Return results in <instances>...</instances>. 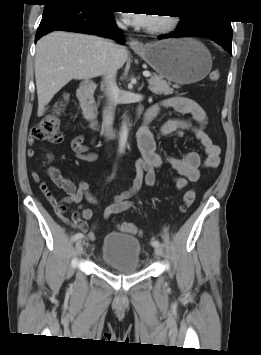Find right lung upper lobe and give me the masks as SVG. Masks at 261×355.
I'll return each instance as SVG.
<instances>
[{
    "label": "right lung upper lobe",
    "instance_id": "1",
    "mask_svg": "<svg viewBox=\"0 0 261 355\" xmlns=\"http://www.w3.org/2000/svg\"><path fill=\"white\" fill-rule=\"evenodd\" d=\"M46 2L56 1V0H45Z\"/></svg>",
    "mask_w": 261,
    "mask_h": 355
}]
</instances>
